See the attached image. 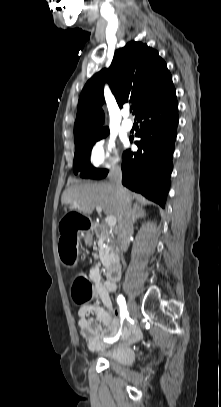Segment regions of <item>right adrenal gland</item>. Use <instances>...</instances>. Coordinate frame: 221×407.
<instances>
[{"label":"right adrenal gland","mask_w":221,"mask_h":407,"mask_svg":"<svg viewBox=\"0 0 221 407\" xmlns=\"http://www.w3.org/2000/svg\"><path fill=\"white\" fill-rule=\"evenodd\" d=\"M145 211L140 208L139 206H133L132 209V220L133 223H135L137 221V219L139 218H144L145 217Z\"/></svg>","instance_id":"right-adrenal-gland-1"}]
</instances>
